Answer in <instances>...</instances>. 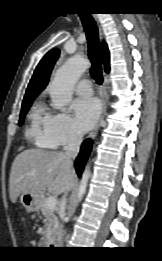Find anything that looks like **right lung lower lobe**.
Wrapping results in <instances>:
<instances>
[{
    "label": "right lung lower lobe",
    "mask_w": 162,
    "mask_h": 261,
    "mask_svg": "<svg viewBox=\"0 0 162 261\" xmlns=\"http://www.w3.org/2000/svg\"><path fill=\"white\" fill-rule=\"evenodd\" d=\"M92 142L90 139H87L83 142L81 146L80 153L75 161V168L79 176H81L88 156L90 154Z\"/></svg>",
    "instance_id": "obj_1"
}]
</instances>
